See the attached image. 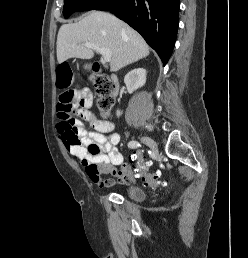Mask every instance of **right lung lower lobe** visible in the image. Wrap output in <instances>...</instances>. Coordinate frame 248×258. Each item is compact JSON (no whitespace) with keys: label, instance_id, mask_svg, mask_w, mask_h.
Masks as SVG:
<instances>
[{"label":"right lung lower lobe","instance_id":"98d812e1","mask_svg":"<svg viewBox=\"0 0 248 258\" xmlns=\"http://www.w3.org/2000/svg\"><path fill=\"white\" fill-rule=\"evenodd\" d=\"M180 0H109L95 10L111 11L137 30L167 64L176 40Z\"/></svg>","mask_w":248,"mask_h":258}]
</instances>
